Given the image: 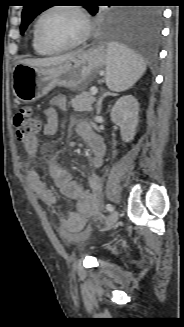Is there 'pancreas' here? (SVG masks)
<instances>
[{
    "instance_id": "pancreas-1",
    "label": "pancreas",
    "mask_w": 184,
    "mask_h": 327,
    "mask_svg": "<svg viewBox=\"0 0 184 327\" xmlns=\"http://www.w3.org/2000/svg\"><path fill=\"white\" fill-rule=\"evenodd\" d=\"M95 97L92 95L91 90L89 92H82L76 95L71 100V105L74 111H87L91 112L93 110V104L95 102Z\"/></svg>"
}]
</instances>
